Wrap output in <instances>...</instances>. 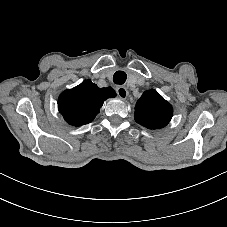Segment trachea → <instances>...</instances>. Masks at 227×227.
<instances>
[{
	"label": "trachea",
	"mask_w": 227,
	"mask_h": 227,
	"mask_svg": "<svg viewBox=\"0 0 227 227\" xmlns=\"http://www.w3.org/2000/svg\"><path fill=\"white\" fill-rule=\"evenodd\" d=\"M126 79H127V75L124 71H117L113 75V82L115 84L122 85L125 83Z\"/></svg>",
	"instance_id": "3493384b"
}]
</instances>
